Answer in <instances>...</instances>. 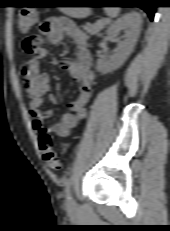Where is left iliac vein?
Returning a JSON list of instances; mask_svg holds the SVG:
<instances>
[{"label":"left iliac vein","instance_id":"obj_1","mask_svg":"<svg viewBox=\"0 0 170 231\" xmlns=\"http://www.w3.org/2000/svg\"><path fill=\"white\" fill-rule=\"evenodd\" d=\"M67 206L70 207V208H73V207L76 206V202H75V200H74L72 197H70V198L68 199V201H67Z\"/></svg>","mask_w":170,"mask_h":231}]
</instances>
